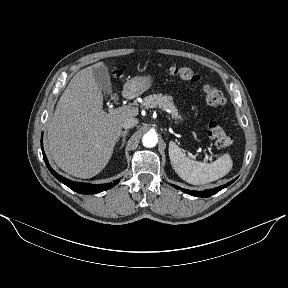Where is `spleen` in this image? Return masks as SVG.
I'll return each instance as SVG.
<instances>
[{
    "instance_id": "obj_1",
    "label": "spleen",
    "mask_w": 288,
    "mask_h": 288,
    "mask_svg": "<svg viewBox=\"0 0 288 288\" xmlns=\"http://www.w3.org/2000/svg\"><path fill=\"white\" fill-rule=\"evenodd\" d=\"M169 158L178 176L193 185L216 181L227 175L233 166L229 153L212 163L195 161L187 157L173 141L169 143Z\"/></svg>"
}]
</instances>
